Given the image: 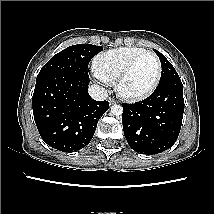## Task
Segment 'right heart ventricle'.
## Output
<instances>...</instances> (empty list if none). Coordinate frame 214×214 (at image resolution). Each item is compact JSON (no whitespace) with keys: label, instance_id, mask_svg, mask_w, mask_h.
<instances>
[{"label":"right heart ventricle","instance_id":"right-heart-ventricle-1","mask_svg":"<svg viewBox=\"0 0 214 214\" xmlns=\"http://www.w3.org/2000/svg\"><path fill=\"white\" fill-rule=\"evenodd\" d=\"M144 51L141 47L127 46L100 53L93 61L95 73L109 84H114L125 65Z\"/></svg>","mask_w":214,"mask_h":214}]
</instances>
